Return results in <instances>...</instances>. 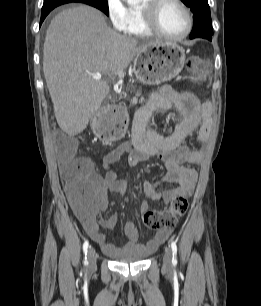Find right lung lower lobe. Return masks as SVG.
Wrapping results in <instances>:
<instances>
[{
  "mask_svg": "<svg viewBox=\"0 0 261 306\" xmlns=\"http://www.w3.org/2000/svg\"><path fill=\"white\" fill-rule=\"evenodd\" d=\"M52 9H47V10H42L41 11V20H40V25L44 21L45 17L50 13Z\"/></svg>",
  "mask_w": 261,
  "mask_h": 306,
  "instance_id": "right-lung-lower-lobe-1",
  "label": "right lung lower lobe"
}]
</instances>
